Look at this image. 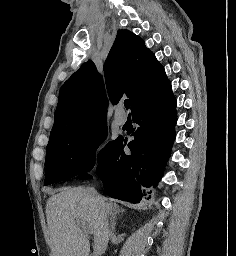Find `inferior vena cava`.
Masks as SVG:
<instances>
[{
  "instance_id": "1",
  "label": "inferior vena cava",
  "mask_w": 236,
  "mask_h": 256,
  "mask_svg": "<svg viewBox=\"0 0 236 256\" xmlns=\"http://www.w3.org/2000/svg\"><path fill=\"white\" fill-rule=\"evenodd\" d=\"M91 194H97L95 188H89ZM106 226H108V224H106ZM106 234H109V230H107Z\"/></svg>"
}]
</instances>
